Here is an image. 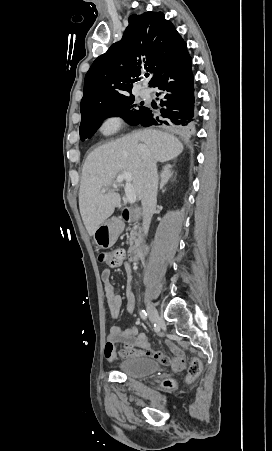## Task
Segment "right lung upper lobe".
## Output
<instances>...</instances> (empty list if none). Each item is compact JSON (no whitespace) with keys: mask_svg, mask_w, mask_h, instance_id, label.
Masks as SVG:
<instances>
[{"mask_svg":"<svg viewBox=\"0 0 272 451\" xmlns=\"http://www.w3.org/2000/svg\"><path fill=\"white\" fill-rule=\"evenodd\" d=\"M121 41L92 64L84 80L81 113L97 105L131 95L143 69L158 75L187 52L186 42L162 12L131 15Z\"/></svg>","mask_w":272,"mask_h":451,"instance_id":"obj_1","label":"right lung upper lobe"}]
</instances>
